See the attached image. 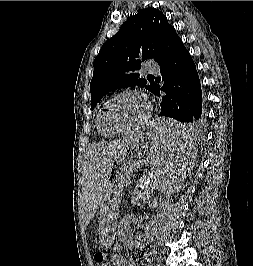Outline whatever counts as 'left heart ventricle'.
Returning a JSON list of instances; mask_svg holds the SVG:
<instances>
[{
	"label": "left heart ventricle",
	"instance_id": "1",
	"mask_svg": "<svg viewBox=\"0 0 253 266\" xmlns=\"http://www.w3.org/2000/svg\"><path fill=\"white\" fill-rule=\"evenodd\" d=\"M147 112L145 100L136 95H124L104 110L102 122L106 130L119 131L139 122Z\"/></svg>",
	"mask_w": 253,
	"mask_h": 266
}]
</instances>
